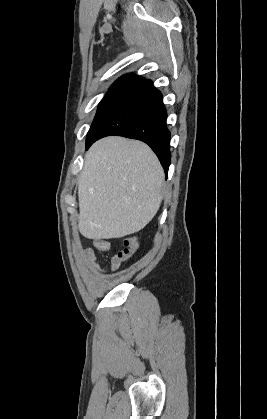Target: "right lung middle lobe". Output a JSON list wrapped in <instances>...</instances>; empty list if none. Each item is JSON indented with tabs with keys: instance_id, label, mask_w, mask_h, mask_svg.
Returning a JSON list of instances; mask_svg holds the SVG:
<instances>
[{
	"instance_id": "dd1d6c3e",
	"label": "right lung middle lobe",
	"mask_w": 267,
	"mask_h": 419,
	"mask_svg": "<svg viewBox=\"0 0 267 419\" xmlns=\"http://www.w3.org/2000/svg\"><path fill=\"white\" fill-rule=\"evenodd\" d=\"M127 93L124 92H110L107 93L102 101L99 104L96 116L93 120V123L88 131L87 138H86V145L92 139L94 132L101 122V120L106 116V114L116 105L118 104Z\"/></svg>"
}]
</instances>
